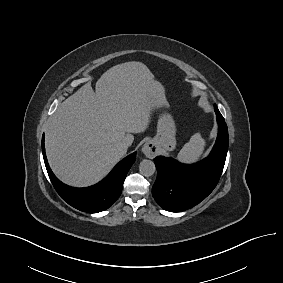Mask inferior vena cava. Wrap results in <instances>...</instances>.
Here are the masks:
<instances>
[{
  "label": "inferior vena cava",
  "mask_w": 283,
  "mask_h": 283,
  "mask_svg": "<svg viewBox=\"0 0 283 283\" xmlns=\"http://www.w3.org/2000/svg\"><path fill=\"white\" fill-rule=\"evenodd\" d=\"M131 144V142L128 140V139H124L122 142H121V146L124 148V149H128L129 145Z\"/></svg>",
  "instance_id": "602c4592"
}]
</instances>
